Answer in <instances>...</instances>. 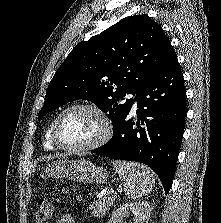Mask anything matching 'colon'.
I'll list each match as a JSON object with an SVG mask.
<instances>
[{
    "instance_id": "colon-1",
    "label": "colon",
    "mask_w": 221,
    "mask_h": 223,
    "mask_svg": "<svg viewBox=\"0 0 221 223\" xmlns=\"http://www.w3.org/2000/svg\"><path fill=\"white\" fill-rule=\"evenodd\" d=\"M58 200L59 199L57 197H50L39 200L35 212V222L49 223V221L53 218L55 206Z\"/></svg>"
}]
</instances>
